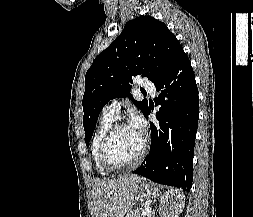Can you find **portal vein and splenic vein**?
<instances>
[{"label":"portal vein and splenic vein","mask_w":253,"mask_h":217,"mask_svg":"<svg viewBox=\"0 0 253 217\" xmlns=\"http://www.w3.org/2000/svg\"><path fill=\"white\" fill-rule=\"evenodd\" d=\"M151 212V208L150 207H146L143 211H142V215L145 217L146 215H148Z\"/></svg>","instance_id":"portal-vein-and-splenic-vein-1"}]
</instances>
